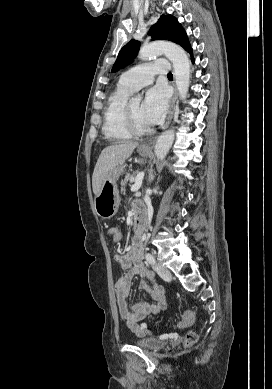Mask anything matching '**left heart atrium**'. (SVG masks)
Here are the masks:
<instances>
[{
    "mask_svg": "<svg viewBox=\"0 0 272 389\" xmlns=\"http://www.w3.org/2000/svg\"><path fill=\"white\" fill-rule=\"evenodd\" d=\"M168 109V95L163 87L150 88L142 103V114L149 125L160 122Z\"/></svg>",
    "mask_w": 272,
    "mask_h": 389,
    "instance_id": "1",
    "label": "left heart atrium"
}]
</instances>
